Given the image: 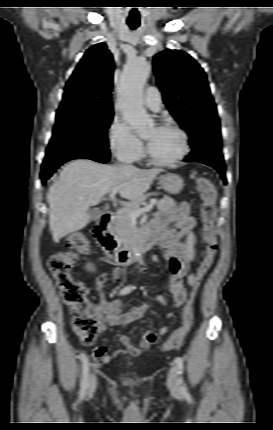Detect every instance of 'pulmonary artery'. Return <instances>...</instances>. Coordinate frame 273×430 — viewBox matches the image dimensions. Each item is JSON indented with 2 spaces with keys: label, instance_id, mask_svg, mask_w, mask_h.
Instances as JSON below:
<instances>
[{
  "label": "pulmonary artery",
  "instance_id": "obj_1",
  "mask_svg": "<svg viewBox=\"0 0 273 430\" xmlns=\"http://www.w3.org/2000/svg\"><path fill=\"white\" fill-rule=\"evenodd\" d=\"M144 103L146 107L154 112H158L162 108L161 94L157 87L150 86L145 91Z\"/></svg>",
  "mask_w": 273,
  "mask_h": 430
}]
</instances>
